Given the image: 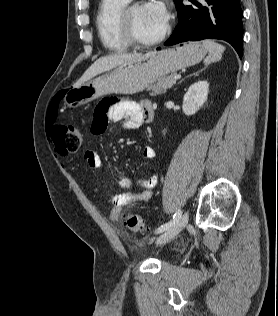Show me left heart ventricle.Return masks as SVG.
I'll list each match as a JSON object with an SVG mask.
<instances>
[{"label": "left heart ventricle", "instance_id": "obj_1", "mask_svg": "<svg viewBox=\"0 0 278 316\" xmlns=\"http://www.w3.org/2000/svg\"><path fill=\"white\" fill-rule=\"evenodd\" d=\"M132 20L137 36L145 41L159 36L166 26L149 13L146 4L138 5L132 10Z\"/></svg>", "mask_w": 278, "mask_h": 316}]
</instances>
